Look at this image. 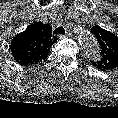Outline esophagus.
I'll use <instances>...</instances> for the list:
<instances>
[{
	"label": "esophagus",
	"mask_w": 118,
	"mask_h": 118,
	"mask_svg": "<svg viewBox=\"0 0 118 118\" xmlns=\"http://www.w3.org/2000/svg\"><path fill=\"white\" fill-rule=\"evenodd\" d=\"M72 34L70 32H67L64 36L63 35H59L60 38H63V37H71Z\"/></svg>",
	"instance_id": "34e87169"
}]
</instances>
